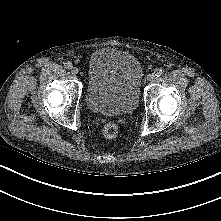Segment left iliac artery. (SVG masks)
Wrapping results in <instances>:
<instances>
[{
	"mask_svg": "<svg viewBox=\"0 0 221 221\" xmlns=\"http://www.w3.org/2000/svg\"><path fill=\"white\" fill-rule=\"evenodd\" d=\"M154 74H155V76L159 77V76H161L163 74V70L160 69V68H156L154 70Z\"/></svg>",
	"mask_w": 221,
	"mask_h": 221,
	"instance_id": "obj_1",
	"label": "left iliac artery"
}]
</instances>
